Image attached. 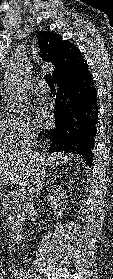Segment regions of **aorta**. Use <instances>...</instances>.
Listing matches in <instances>:
<instances>
[{
	"label": "aorta",
	"mask_w": 113,
	"mask_h": 279,
	"mask_svg": "<svg viewBox=\"0 0 113 279\" xmlns=\"http://www.w3.org/2000/svg\"><path fill=\"white\" fill-rule=\"evenodd\" d=\"M8 109L12 113H17L20 111V97L14 95L8 100Z\"/></svg>",
	"instance_id": "obj_1"
}]
</instances>
